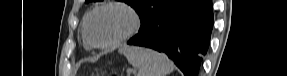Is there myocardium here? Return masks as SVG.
Returning <instances> with one entry per match:
<instances>
[{"mask_svg": "<svg viewBox=\"0 0 287 76\" xmlns=\"http://www.w3.org/2000/svg\"><path fill=\"white\" fill-rule=\"evenodd\" d=\"M110 8H115V9H120L128 14L130 17V24L127 27V29L118 37H116L114 40L108 42V43H97L95 42L89 32V26H90V21L92 17L97 14L100 11H103L105 9H110ZM141 26V18L138 12L129 4L121 1H111L104 3L100 6L95 7L85 18L84 21V37L88 44L97 49H110L118 46L122 42L126 41L129 39L131 36H133L140 28Z\"/></svg>", "mask_w": 287, "mask_h": 76, "instance_id": "1", "label": "myocardium"}]
</instances>
